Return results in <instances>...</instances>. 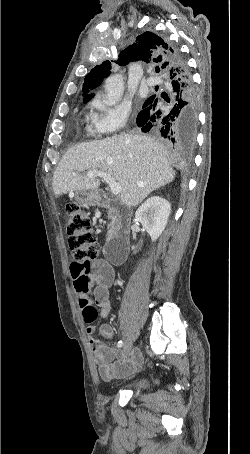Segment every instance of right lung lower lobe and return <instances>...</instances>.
Listing matches in <instances>:
<instances>
[{
    "label": "right lung lower lobe",
    "mask_w": 250,
    "mask_h": 454,
    "mask_svg": "<svg viewBox=\"0 0 250 454\" xmlns=\"http://www.w3.org/2000/svg\"><path fill=\"white\" fill-rule=\"evenodd\" d=\"M169 54L172 66L164 76L169 96L161 94L163 99L155 95L148 98L136 123L143 132L160 133L177 145L191 146L195 142L198 123L196 93L187 63L171 43Z\"/></svg>",
    "instance_id": "obj_1"
}]
</instances>
